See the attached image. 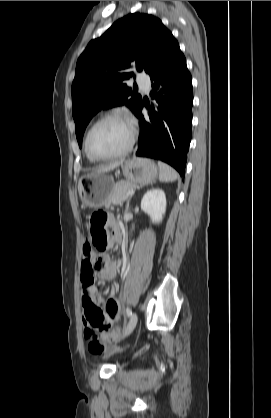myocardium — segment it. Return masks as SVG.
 I'll list each match as a JSON object with an SVG mask.
<instances>
[{"label": "myocardium", "instance_id": "obj_1", "mask_svg": "<svg viewBox=\"0 0 271 418\" xmlns=\"http://www.w3.org/2000/svg\"><path fill=\"white\" fill-rule=\"evenodd\" d=\"M110 119H119V120H124L127 121L130 126H131V136L130 139L127 143V145L125 146V148H123L121 151L110 154V155H97L95 153L92 152L90 145H89V140H90V136L93 132V130L102 122L110 120ZM136 129L135 127L129 122L128 118L122 114V113H118V112H110V113H106L103 116H101L100 118H98L89 128V130L87 131V134L85 136V141H84V145H85V151L86 153L94 160L96 161H104V160H111V159H116V158H120L125 156L126 154H128L135 143L136 140Z\"/></svg>", "mask_w": 271, "mask_h": 418}]
</instances>
